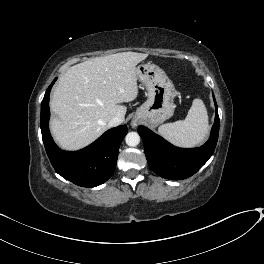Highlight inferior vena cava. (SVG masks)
<instances>
[{
	"mask_svg": "<svg viewBox=\"0 0 264 264\" xmlns=\"http://www.w3.org/2000/svg\"><path fill=\"white\" fill-rule=\"evenodd\" d=\"M122 122H123V119L121 117L116 116V117H113L109 121L108 125H109V127H116V126L120 125Z\"/></svg>",
	"mask_w": 264,
	"mask_h": 264,
	"instance_id": "1",
	"label": "inferior vena cava"
}]
</instances>
